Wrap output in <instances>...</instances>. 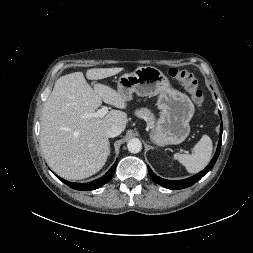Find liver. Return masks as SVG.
Listing matches in <instances>:
<instances>
[{
    "instance_id": "liver-1",
    "label": "liver",
    "mask_w": 253,
    "mask_h": 253,
    "mask_svg": "<svg viewBox=\"0 0 253 253\" xmlns=\"http://www.w3.org/2000/svg\"><path fill=\"white\" fill-rule=\"evenodd\" d=\"M123 68H93L89 80L114 76ZM102 101L126 108L127 99L110 86L97 83L93 88L82 72L60 77L44 104L41 117L40 145L51 169L65 179L81 180L101 170L110 154L106 131L118 125L122 131L127 114L111 110L102 118H82L94 113Z\"/></svg>"
}]
</instances>
